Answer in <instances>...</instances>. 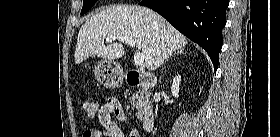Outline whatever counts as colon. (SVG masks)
Listing matches in <instances>:
<instances>
[{
    "mask_svg": "<svg viewBox=\"0 0 280 137\" xmlns=\"http://www.w3.org/2000/svg\"><path fill=\"white\" fill-rule=\"evenodd\" d=\"M81 108H82V111L90 118H94L99 111L98 104L92 100H83L81 102ZM89 136L90 135H88V137ZM136 137H138V136H136Z\"/></svg>",
    "mask_w": 280,
    "mask_h": 137,
    "instance_id": "colon-1",
    "label": "colon"
}]
</instances>
